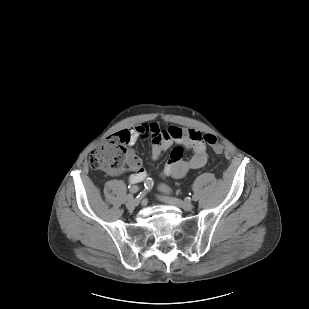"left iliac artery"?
Segmentation results:
<instances>
[{
    "mask_svg": "<svg viewBox=\"0 0 309 309\" xmlns=\"http://www.w3.org/2000/svg\"><path fill=\"white\" fill-rule=\"evenodd\" d=\"M162 188H163L164 190H169V188H167V186H164V185L162 186ZM192 200H193V201H197V200H198V196L194 194V195L192 196Z\"/></svg>",
    "mask_w": 309,
    "mask_h": 309,
    "instance_id": "left-iliac-artery-1",
    "label": "left iliac artery"
}]
</instances>
